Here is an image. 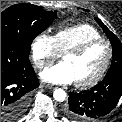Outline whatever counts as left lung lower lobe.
Here are the masks:
<instances>
[{"instance_id": "0a47b994", "label": "left lung lower lobe", "mask_w": 122, "mask_h": 122, "mask_svg": "<svg viewBox=\"0 0 122 122\" xmlns=\"http://www.w3.org/2000/svg\"><path fill=\"white\" fill-rule=\"evenodd\" d=\"M122 95V71L107 74L90 90L69 93L63 113L70 119L83 122L107 115Z\"/></svg>"}]
</instances>
